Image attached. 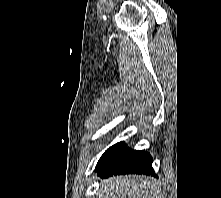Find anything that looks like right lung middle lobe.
<instances>
[{
  "instance_id": "right-lung-middle-lobe-1",
  "label": "right lung middle lobe",
  "mask_w": 221,
  "mask_h": 198,
  "mask_svg": "<svg viewBox=\"0 0 221 198\" xmlns=\"http://www.w3.org/2000/svg\"><path fill=\"white\" fill-rule=\"evenodd\" d=\"M126 145L124 142L117 143L110 147L106 152L102 155V157L99 159L96 169L100 168L104 164H106L108 161H110L112 158H114L118 153H120Z\"/></svg>"
}]
</instances>
